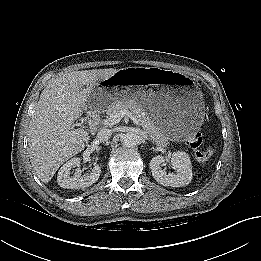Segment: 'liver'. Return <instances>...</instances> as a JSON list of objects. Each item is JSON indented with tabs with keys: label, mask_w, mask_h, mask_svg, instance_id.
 Returning a JSON list of instances; mask_svg holds the SVG:
<instances>
[{
	"label": "liver",
	"mask_w": 261,
	"mask_h": 261,
	"mask_svg": "<svg viewBox=\"0 0 261 261\" xmlns=\"http://www.w3.org/2000/svg\"><path fill=\"white\" fill-rule=\"evenodd\" d=\"M117 72L114 68L73 71L50 81L42 91L29 123L28 152L43 183L85 148L89 133L74 129V121L87 109L95 87Z\"/></svg>",
	"instance_id": "liver-1"
}]
</instances>
